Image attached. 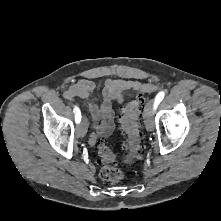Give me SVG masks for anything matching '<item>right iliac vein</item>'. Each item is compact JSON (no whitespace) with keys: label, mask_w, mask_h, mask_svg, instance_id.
Masks as SVG:
<instances>
[{"label":"right iliac vein","mask_w":221,"mask_h":221,"mask_svg":"<svg viewBox=\"0 0 221 221\" xmlns=\"http://www.w3.org/2000/svg\"><path fill=\"white\" fill-rule=\"evenodd\" d=\"M87 133V122L86 119L83 118L81 124L77 128V135L78 137H84Z\"/></svg>","instance_id":"obj_1"}]
</instances>
